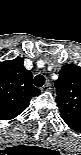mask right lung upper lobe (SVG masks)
<instances>
[{"instance_id": "cb5924a9", "label": "right lung upper lobe", "mask_w": 81, "mask_h": 155, "mask_svg": "<svg viewBox=\"0 0 81 155\" xmlns=\"http://www.w3.org/2000/svg\"><path fill=\"white\" fill-rule=\"evenodd\" d=\"M17 57L0 63V119L10 120L22 113L31 98L40 94L32 84V73Z\"/></svg>"}]
</instances>
